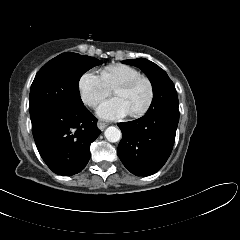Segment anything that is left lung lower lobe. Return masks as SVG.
Masks as SVG:
<instances>
[{
	"instance_id": "obj_1",
	"label": "left lung lower lobe",
	"mask_w": 240,
	"mask_h": 240,
	"mask_svg": "<svg viewBox=\"0 0 240 240\" xmlns=\"http://www.w3.org/2000/svg\"><path fill=\"white\" fill-rule=\"evenodd\" d=\"M178 121V108L159 107L137 120L118 123L123 138L117 153L123 165L136 176L159 171L171 154Z\"/></svg>"
}]
</instances>
